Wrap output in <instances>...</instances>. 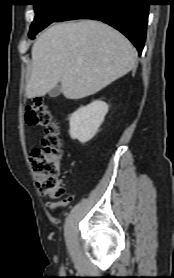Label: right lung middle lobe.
Segmentation results:
<instances>
[{
	"label": "right lung middle lobe",
	"mask_w": 174,
	"mask_h": 278,
	"mask_svg": "<svg viewBox=\"0 0 174 278\" xmlns=\"http://www.w3.org/2000/svg\"><path fill=\"white\" fill-rule=\"evenodd\" d=\"M75 0H32L35 6V19L31 24L29 37L35 35L54 22L63 11Z\"/></svg>",
	"instance_id": "right-lung-middle-lobe-1"
}]
</instances>
